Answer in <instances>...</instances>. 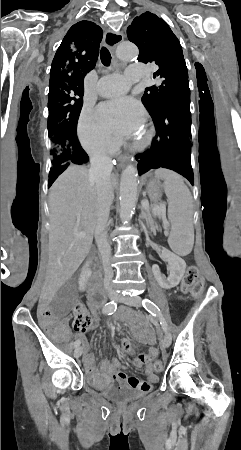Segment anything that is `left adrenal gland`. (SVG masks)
<instances>
[{"label":"left adrenal gland","mask_w":241,"mask_h":450,"mask_svg":"<svg viewBox=\"0 0 241 450\" xmlns=\"http://www.w3.org/2000/svg\"><path fill=\"white\" fill-rule=\"evenodd\" d=\"M142 212H144V208H141Z\"/></svg>","instance_id":"1"}]
</instances>
